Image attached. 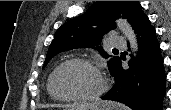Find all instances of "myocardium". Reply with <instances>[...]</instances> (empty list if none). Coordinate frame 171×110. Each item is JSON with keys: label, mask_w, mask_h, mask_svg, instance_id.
<instances>
[{"label": "myocardium", "mask_w": 171, "mask_h": 110, "mask_svg": "<svg viewBox=\"0 0 171 110\" xmlns=\"http://www.w3.org/2000/svg\"><path fill=\"white\" fill-rule=\"evenodd\" d=\"M70 64H80L87 66L91 69H93L95 72L98 73V75L101 77V86L100 88L93 94H88V95H73V96H64L59 94L55 88H54V80L57 75V73L65 66L70 65ZM109 86L108 79L104 72L93 62L87 60V59H81V58H73V59H68L61 64H59L54 71L51 73L48 81V90L50 94L56 98L57 100L60 101H95L98 100L100 97L103 96V94L107 91Z\"/></svg>", "instance_id": "myocardium-1"}]
</instances>
